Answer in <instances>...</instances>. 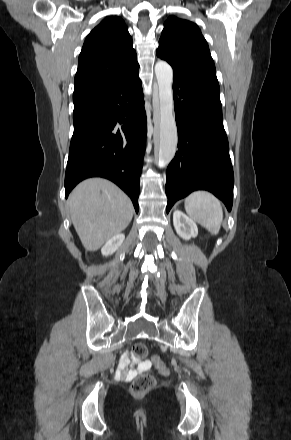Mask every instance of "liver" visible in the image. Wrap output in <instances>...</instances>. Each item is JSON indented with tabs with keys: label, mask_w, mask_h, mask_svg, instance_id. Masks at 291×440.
I'll use <instances>...</instances> for the list:
<instances>
[{
	"label": "liver",
	"mask_w": 291,
	"mask_h": 440,
	"mask_svg": "<svg viewBox=\"0 0 291 440\" xmlns=\"http://www.w3.org/2000/svg\"><path fill=\"white\" fill-rule=\"evenodd\" d=\"M68 206L74 228L88 251L98 250L132 220L133 205L114 183L91 178L70 193Z\"/></svg>",
	"instance_id": "liver-1"
}]
</instances>
